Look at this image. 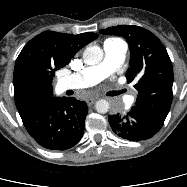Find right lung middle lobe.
Instances as JSON below:
<instances>
[{"mask_svg": "<svg viewBox=\"0 0 187 187\" xmlns=\"http://www.w3.org/2000/svg\"><path fill=\"white\" fill-rule=\"evenodd\" d=\"M48 81H49V82H52V78H50Z\"/></svg>", "mask_w": 187, "mask_h": 187, "instance_id": "1", "label": "right lung middle lobe"}]
</instances>
